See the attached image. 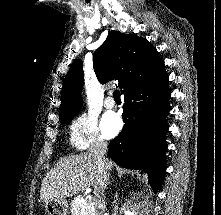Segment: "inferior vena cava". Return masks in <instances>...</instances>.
Wrapping results in <instances>:
<instances>
[{
  "label": "inferior vena cava",
  "mask_w": 221,
  "mask_h": 215,
  "mask_svg": "<svg viewBox=\"0 0 221 215\" xmlns=\"http://www.w3.org/2000/svg\"><path fill=\"white\" fill-rule=\"evenodd\" d=\"M89 151L97 160V166H98V175L94 185L95 202L98 208L103 209L104 208L103 196L108 176L106 171V163L108 159L105 158V154L107 152V144L97 139L91 144ZM97 215H101V213H98Z\"/></svg>",
  "instance_id": "inferior-vena-cava-1"
}]
</instances>
